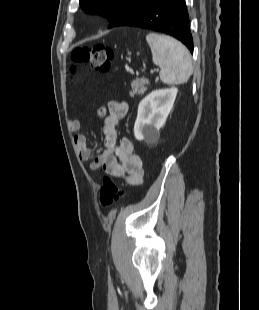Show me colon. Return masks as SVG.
<instances>
[{
  "label": "colon",
  "instance_id": "5ec220e1",
  "mask_svg": "<svg viewBox=\"0 0 259 310\" xmlns=\"http://www.w3.org/2000/svg\"><path fill=\"white\" fill-rule=\"evenodd\" d=\"M113 55L112 47L106 44H95L77 48L74 50L72 58L76 63H84L96 71L107 72L111 68ZM122 195V188L110 176H105L99 193L101 205L107 207L116 202Z\"/></svg>",
  "mask_w": 259,
  "mask_h": 310
}]
</instances>
